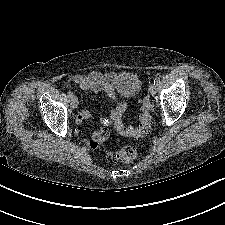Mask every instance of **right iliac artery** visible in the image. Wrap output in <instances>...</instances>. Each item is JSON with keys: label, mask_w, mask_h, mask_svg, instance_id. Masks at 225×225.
<instances>
[{"label": "right iliac artery", "mask_w": 225, "mask_h": 225, "mask_svg": "<svg viewBox=\"0 0 225 225\" xmlns=\"http://www.w3.org/2000/svg\"><path fill=\"white\" fill-rule=\"evenodd\" d=\"M68 97L70 98L71 96H73V93L71 91H69L68 93Z\"/></svg>", "instance_id": "obj_1"}]
</instances>
